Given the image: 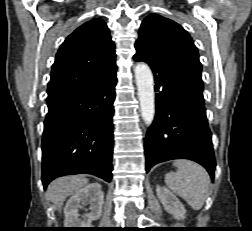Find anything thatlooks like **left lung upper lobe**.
Segmentation results:
<instances>
[{
  "label": "left lung upper lobe",
  "mask_w": 252,
  "mask_h": 231,
  "mask_svg": "<svg viewBox=\"0 0 252 231\" xmlns=\"http://www.w3.org/2000/svg\"><path fill=\"white\" fill-rule=\"evenodd\" d=\"M135 49V55L145 59L180 61L202 70L198 50L188 32L158 14H150L143 20Z\"/></svg>",
  "instance_id": "left-lung-upper-lobe-1"
}]
</instances>
